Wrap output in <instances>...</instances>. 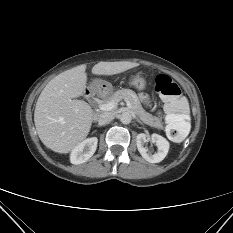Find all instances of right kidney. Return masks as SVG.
Listing matches in <instances>:
<instances>
[{
	"mask_svg": "<svg viewBox=\"0 0 233 233\" xmlns=\"http://www.w3.org/2000/svg\"><path fill=\"white\" fill-rule=\"evenodd\" d=\"M98 139L96 137L87 138L79 143L70 154L72 164H82L93 156L97 148Z\"/></svg>",
	"mask_w": 233,
	"mask_h": 233,
	"instance_id": "1",
	"label": "right kidney"
}]
</instances>
